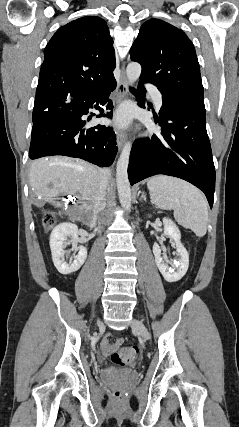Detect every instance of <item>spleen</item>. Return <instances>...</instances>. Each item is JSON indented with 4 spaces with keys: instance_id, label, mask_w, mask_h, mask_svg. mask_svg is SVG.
Instances as JSON below:
<instances>
[{
    "instance_id": "1",
    "label": "spleen",
    "mask_w": 239,
    "mask_h": 427,
    "mask_svg": "<svg viewBox=\"0 0 239 427\" xmlns=\"http://www.w3.org/2000/svg\"><path fill=\"white\" fill-rule=\"evenodd\" d=\"M152 202L160 209L174 210L175 220L202 237L207 231L208 205L204 194L178 178L158 175L147 182Z\"/></svg>"
}]
</instances>
